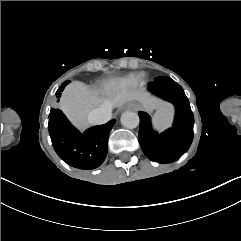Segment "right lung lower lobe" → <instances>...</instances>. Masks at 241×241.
Here are the masks:
<instances>
[{"label":"right lung lower lobe","mask_w":241,"mask_h":241,"mask_svg":"<svg viewBox=\"0 0 241 241\" xmlns=\"http://www.w3.org/2000/svg\"><path fill=\"white\" fill-rule=\"evenodd\" d=\"M49 118L48 130L52 145L62 160L84 170L95 169L103 163L108 151L109 132L115 119L81 133L59 109L51 110Z\"/></svg>","instance_id":"98d812e1"}]
</instances>
